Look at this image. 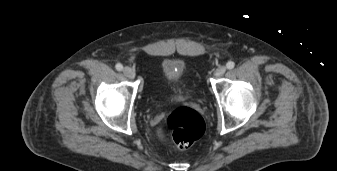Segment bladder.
<instances>
[{
  "mask_svg": "<svg viewBox=\"0 0 337 171\" xmlns=\"http://www.w3.org/2000/svg\"><path fill=\"white\" fill-rule=\"evenodd\" d=\"M160 70L163 82L173 91L172 97L174 99L183 98L184 93L181 88V82L185 72V65L179 61L168 60L161 64Z\"/></svg>",
  "mask_w": 337,
  "mask_h": 171,
  "instance_id": "bladder-1",
  "label": "bladder"
}]
</instances>
